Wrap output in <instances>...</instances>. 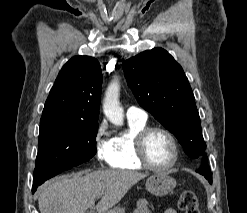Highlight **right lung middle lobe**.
I'll list each match as a JSON object with an SVG mask.
<instances>
[{"mask_svg":"<svg viewBox=\"0 0 247 213\" xmlns=\"http://www.w3.org/2000/svg\"><path fill=\"white\" fill-rule=\"evenodd\" d=\"M98 124L77 122L40 123L38 154L33 184L88 161L96 153Z\"/></svg>","mask_w":247,"mask_h":213,"instance_id":"right-lung-middle-lobe-1","label":"right lung middle lobe"}]
</instances>
